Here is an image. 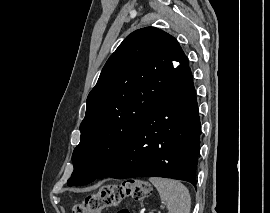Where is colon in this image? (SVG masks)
I'll list each match as a JSON object with an SVG mask.
<instances>
[{
  "label": "colon",
  "mask_w": 270,
  "mask_h": 213,
  "mask_svg": "<svg viewBox=\"0 0 270 213\" xmlns=\"http://www.w3.org/2000/svg\"><path fill=\"white\" fill-rule=\"evenodd\" d=\"M150 194L151 186L146 181L129 179L120 184L103 186L97 193L87 196L82 203L76 204L73 213H101L105 208L117 206L125 196L142 200ZM118 213H130V211L125 207Z\"/></svg>",
  "instance_id": "colon-1"
}]
</instances>
